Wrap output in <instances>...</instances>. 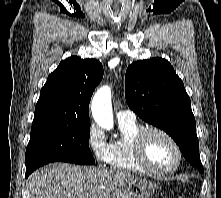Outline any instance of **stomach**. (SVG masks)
<instances>
[{
    "mask_svg": "<svg viewBox=\"0 0 221 198\" xmlns=\"http://www.w3.org/2000/svg\"><path fill=\"white\" fill-rule=\"evenodd\" d=\"M156 185L145 179H133L122 184L107 198H150L155 193Z\"/></svg>",
    "mask_w": 221,
    "mask_h": 198,
    "instance_id": "obj_1",
    "label": "stomach"
}]
</instances>
